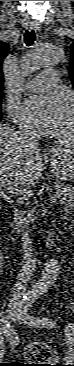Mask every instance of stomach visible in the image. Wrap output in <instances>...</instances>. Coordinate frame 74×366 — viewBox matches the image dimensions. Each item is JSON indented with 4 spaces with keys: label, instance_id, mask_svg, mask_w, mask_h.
Returning a JSON list of instances; mask_svg holds the SVG:
<instances>
[{
    "label": "stomach",
    "instance_id": "0dacf381",
    "mask_svg": "<svg viewBox=\"0 0 74 366\" xmlns=\"http://www.w3.org/2000/svg\"><path fill=\"white\" fill-rule=\"evenodd\" d=\"M52 165L55 174L61 179H71L74 174V158L70 154L57 151L52 156Z\"/></svg>",
    "mask_w": 74,
    "mask_h": 366
}]
</instances>
